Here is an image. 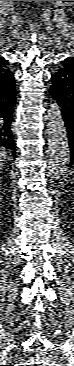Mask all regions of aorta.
I'll return each mask as SVG.
<instances>
[{
  "instance_id": "762f6f07",
  "label": "aorta",
  "mask_w": 74,
  "mask_h": 366,
  "mask_svg": "<svg viewBox=\"0 0 74 366\" xmlns=\"http://www.w3.org/2000/svg\"><path fill=\"white\" fill-rule=\"evenodd\" d=\"M48 133V177L58 179L70 163L68 134L61 108L56 102L49 105L46 115Z\"/></svg>"
}]
</instances>
